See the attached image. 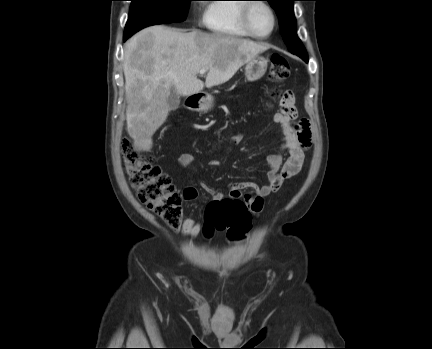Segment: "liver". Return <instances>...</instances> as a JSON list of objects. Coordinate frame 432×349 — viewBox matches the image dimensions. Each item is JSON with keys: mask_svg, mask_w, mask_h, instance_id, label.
<instances>
[{"mask_svg": "<svg viewBox=\"0 0 432 349\" xmlns=\"http://www.w3.org/2000/svg\"><path fill=\"white\" fill-rule=\"evenodd\" d=\"M269 49L247 39L155 25L125 45L123 70L127 129L138 150L152 147V136L165 122L173 89L191 96L227 82L238 69ZM208 71L205 83L197 76Z\"/></svg>", "mask_w": 432, "mask_h": 349, "instance_id": "1", "label": "liver"}]
</instances>
